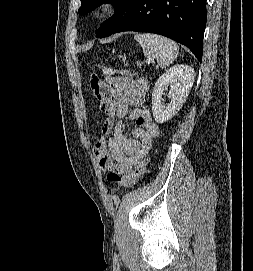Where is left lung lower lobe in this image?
<instances>
[{
  "mask_svg": "<svg viewBox=\"0 0 253 271\" xmlns=\"http://www.w3.org/2000/svg\"><path fill=\"white\" fill-rule=\"evenodd\" d=\"M206 17V0H134L129 16L112 34H160L187 46L201 62Z\"/></svg>",
  "mask_w": 253,
  "mask_h": 271,
  "instance_id": "left-lung-lower-lobe-1",
  "label": "left lung lower lobe"
}]
</instances>
